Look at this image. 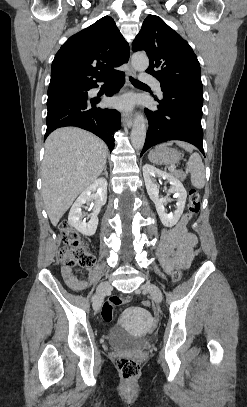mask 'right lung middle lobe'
<instances>
[{"instance_id": "right-lung-middle-lobe-1", "label": "right lung middle lobe", "mask_w": 247, "mask_h": 407, "mask_svg": "<svg viewBox=\"0 0 247 407\" xmlns=\"http://www.w3.org/2000/svg\"><path fill=\"white\" fill-rule=\"evenodd\" d=\"M88 90H90V87L84 86H71L50 89L48 90L47 106L65 100L88 99Z\"/></svg>"}]
</instances>
